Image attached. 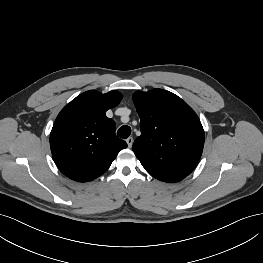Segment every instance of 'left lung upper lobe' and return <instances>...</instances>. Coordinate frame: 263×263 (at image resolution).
Instances as JSON below:
<instances>
[{"instance_id":"1","label":"left lung upper lobe","mask_w":263,"mask_h":263,"mask_svg":"<svg viewBox=\"0 0 263 263\" xmlns=\"http://www.w3.org/2000/svg\"><path fill=\"white\" fill-rule=\"evenodd\" d=\"M133 101L141 135L132 150L155 178L167 169L189 175L204 146V130L196 113L177 95L162 89L137 91Z\"/></svg>"}]
</instances>
